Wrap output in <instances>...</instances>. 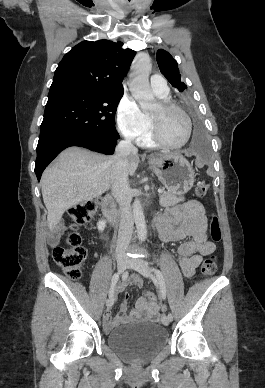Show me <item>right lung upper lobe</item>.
<instances>
[{
	"mask_svg": "<svg viewBox=\"0 0 265 388\" xmlns=\"http://www.w3.org/2000/svg\"><path fill=\"white\" fill-rule=\"evenodd\" d=\"M121 42L83 41L59 63L49 94L63 91L123 90L121 82L136 52Z\"/></svg>",
	"mask_w": 265,
	"mask_h": 388,
	"instance_id": "cb5924a9",
	"label": "right lung upper lobe"
}]
</instances>
